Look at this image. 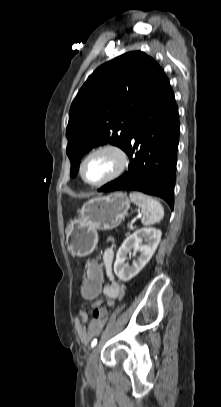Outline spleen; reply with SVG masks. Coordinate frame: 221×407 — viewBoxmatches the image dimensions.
I'll list each match as a JSON object with an SVG mask.
<instances>
[{
  "instance_id": "obj_1",
  "label": "spleen",
  "mask_w": 221,
  "mask_h": 407,
  "mask_svg": "<svg viewBox=\"0 0 221 407\" xmlns=\"http://www.w3.org/2000/svg\"><path fill=\"white\" fill-rule=\"evenodd\" d=\"M130 200L141 209V222L144 225H151L159 222L164 217L162 205L151 196L141 192H131Z\"/></svg>"
}]
</instances>
